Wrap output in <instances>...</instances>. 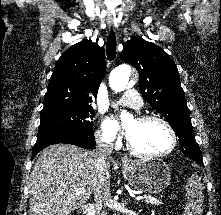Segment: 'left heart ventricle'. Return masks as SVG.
Wrapping results in <instances>:
<instances>
[{"label": "left heart ventricle", "mask_w": 221, "mask_h": 215, "mask_svg": "<svg viewBox=\"0 0 221 215\" xmlns=\"http://www.w3.org/2000/svg\"><path fill=\"white\" fill-rule=\"evenodd\" d=\"M131 144L143 153H158L170 146V135L158 121L139 122L136 119L126 125Z\"/></svg>", "instance_id": "left-heart-ventricle-1"}]
</instances>
